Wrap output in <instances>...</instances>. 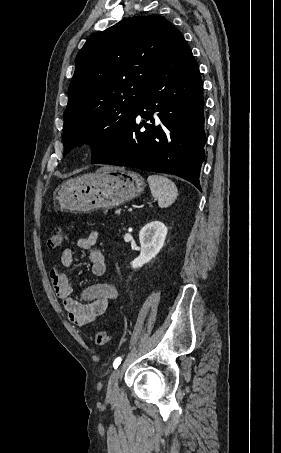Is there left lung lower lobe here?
Here are the masks:
<instances>
[{"instance_id": "1", "label": "left lung lower lobe", "mask_w": 281, "mask_h": 453, "mask_svg": "<svg viewBox=\"0 0 281 453\" xmlns=\"http://www.w3.org/2000/svg\"><path fill=\"white\" fill-rule=\"evenodd\" d=\"M203 107L199 69L180 33L132 122L95 163L174 174L201 190L199 175L206 143ZM152 112H158L162 125H154ZM145 119L153 124H146Z\"/></svg>"}]
</instances>
